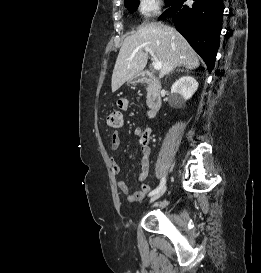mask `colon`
Masks as SVG:
<instances>
[{
    "instance_id": "1",
    "label": "colon",
    "mask_w": 261,
    "mask_h": 273,
    "mask_svg": "<svg viewBox=\"0 0 261 273\" xmlns=\"http://www.w3.org/2000/svg\"><path fill=\"white\" fill-rule=\"evenodd\" d=\"M108 125L114 128L120 127L122 124V113L120 111H113L108 115Z\"/></svg>"
}]
</instances>
